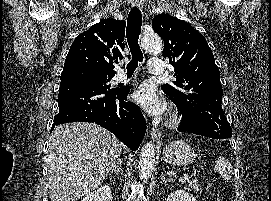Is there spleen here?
<instances>
[{"label":"spleen","mask_w":271,"mask_h":201,"mask_svg":"<svg viewBox=\"0 0 271 201\" xmlns=\"http://www.w3.org/2000/svg\"><path fill=\"white\" fill-rule=\"evenodd\" d=\"M232 165L228 160H225L222 156H219L215 162L214 170L218 172L224 180H230L232 177Z\"/></svg>","instance_id":"obj_1"}]
</instances>
